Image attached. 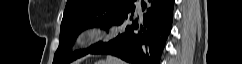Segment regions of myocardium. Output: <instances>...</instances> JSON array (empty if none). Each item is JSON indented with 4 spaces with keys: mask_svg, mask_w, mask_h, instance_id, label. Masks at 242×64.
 <instances>
[{
    "mask_svg": "<svg viewBox=\"0 0 242 64\" xmlns=\"http://www.w3.org/2000/svg\"><path fill=\"white\" fill-rule=\"evenodd\" d=\"M104 34V30L99 27H91L84 31L82 35L83 41H91L100 38Z\"/></svg>",
    "mask_w": 242,
    "mask_h": 64,
    "instance_id": "obj_1",
    "label": "myocardium"
}]
</instances>
